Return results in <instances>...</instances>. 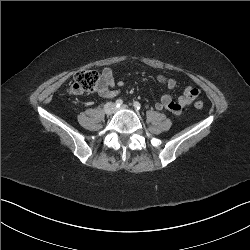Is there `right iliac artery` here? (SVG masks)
Wrapping results in <instances>:
<instances>
[{"label":"right iliac artery","instance_id":"1","mask_svg":"<svg viewBox=\"0 0 250 250\" xmlns=\"http://www.w3.org/2000/svg\"><path fill=\"white\" fill-rule=\"evenodd\" d=\"M115 104L117 107H120L123 104V100L118 99V100H116Z\"/></svg>","mask_w":250,"mask_h":250}]
</instances>
